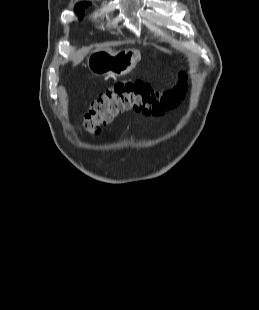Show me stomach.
Masks as SVG:
<instances>
[{
    "label": "stomach",
    "mask_w": 259,
    "mask_h": 310,
    "mask_svg": "<svg viewBox=\"0 0 259 310\" xmlns=\"http://www.w3.org/2000/svg\"><path fill=\"white\" fill-rule=\"evenodd\" d=\"M141 54L136 49L113 51L110 48L94 50L88 57L87 65L97 75L123 76L131 72L140 61Z\"/></svg>",
    "instance_id": "0dacf381"
}]
</instances>
